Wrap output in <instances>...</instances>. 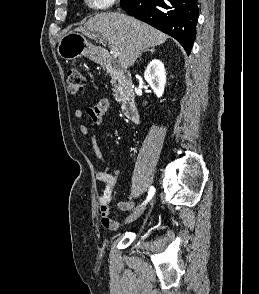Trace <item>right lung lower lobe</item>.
<instances>
[{"instance_id": "obj_1", "label": "right lung lower lobe", "mask_w": 259, "mask_h": 294, "mask_svg": "<svg viewBox=\"0 0 259 294\" xmlns=\"http://www.w3.org/2000/svg\"><path fill=\"white\" fill-rule=\"evenodd\" d=\"M121 7L178 40L190 54L199 14L197 0H121Z\"/></svg>"}]
</instances>
